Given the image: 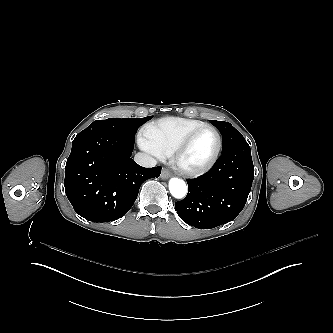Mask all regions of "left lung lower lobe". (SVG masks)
<instances>
[{
	"label": "left lung lower lobe",
	"mask_w": 333,
	"mask_h": 333,
	"mask_svg": "<svg viewBox=\"0 0 333 333\" xmlns=\"http://www.w3.org/2000/svg\"><path fill=\"white\" fill-rule=\"evenodd\" d=\"M254 179L248 143L223 151L204 175L187 180V196L175 203L179 217L199 229H211L237 217Z\"/></svg>",
	"instance_id": "obj_1"
}]
</instances>
